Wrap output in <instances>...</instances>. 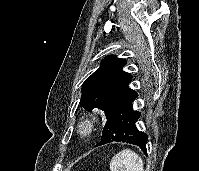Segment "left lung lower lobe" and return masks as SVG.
I'll list each match as a JSON object with an SVG mask.
<instances>
[{
	"mask_svg": "<svg viewBox=\"0 0 199 171\" xmlns=\"http://www.w3.org/2000/svg\"><path fill=\"white\" fill-rule=\"evenodd\" d=\"M134 92L107 118L102 132V140L96 144L100 146L113 141L126 142L139 146L146 153L147 135L139 132L136 122L140 112L133 110V101L137 98Z\"/></svg>",
	"mask_w": 199,
	"mask_h": 171,
	"instance_id": "left-lung-lower-lobe-1",
	"label": "left lung lower lobe"
}]
</instances>
